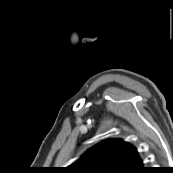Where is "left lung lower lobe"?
Segmentation results:
<instances>
[{"label":"left lung lower lobe","mask_w":173,"mask_h":173,"mask_svg":"<svg viewBox=\"0 0 173 173\" xmlns=\"http://www.w3.org/2000/svg\"><path fill=\"white\" fill-rule=\"evenodd\" d=\"M149 170L146 168L142 173H148Z\"/></svg>","instance_id":"0a47b994"}]
</instances>
